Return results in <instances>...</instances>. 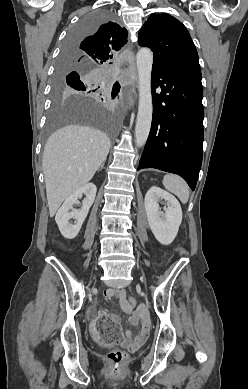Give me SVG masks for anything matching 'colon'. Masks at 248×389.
<instances>
[{"mask_svg": "<svg viewBox=\"0 0 248 389\" xmlns=\"http://www.w3.org/2000/svg\"><path fill=\"white\" fill-rule=\"evenodd\" d=\"M136 305V300L133 297L128 298L127 307L132 309ZM95 326L90 327L91 333H96L97 337L101 338L102 344H115L117 340H123L124 334L120 330L121 323L113 322L112 318L105 311H100L95 316ZM109 369L116 373L124 366L126 353L122 350L115 349L107 355Z\"/></svg>", "mask_w": 248, "mask_h": 389, "instance_id": "1", "label": "colon"}]
</instances>
